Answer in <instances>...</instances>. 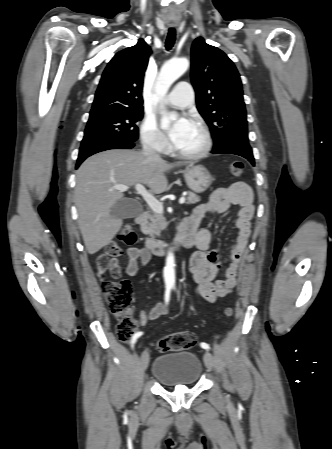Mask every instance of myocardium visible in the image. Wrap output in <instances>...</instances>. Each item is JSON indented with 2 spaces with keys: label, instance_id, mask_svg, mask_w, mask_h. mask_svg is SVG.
Segmentation results:
<instances>
[{
  "label": "myocardium",
  "instance_id": "1",
  "mask_svg": "<svg viewBox=\"0 0 332 449\" xmlns=\"http://www.w3.org/2000/svg\"><path fill=\"white\" fill-rule=\"evenodd\" d=\"M193 124H195L202 132L203 145L199 150H197L195 152L181 151L176 146H174V148H173L174 152L179 157H181L183 159H188V160L201 159V158L207 156L212 149V145H213L212 134H211L209 128L207 127V125L202 120L197 119V118L193 120Z\"/></svg>",
  "mask_w": 332,
  "mask_h": 449
}]
</instances>
